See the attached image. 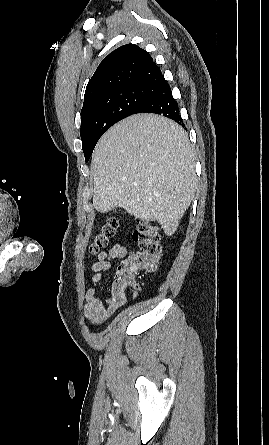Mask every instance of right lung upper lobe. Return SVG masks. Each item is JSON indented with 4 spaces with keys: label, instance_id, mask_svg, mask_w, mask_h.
<instances>
[{
    "label": "right lung upper lobe",
    "instance_id": "obj_1",
    "mask_svg": "<svg viewBox=\"0 0 269 445\" xmlns=\"http://www.w3.org/2000/svg\"><path fill=\"white\" fill-rule=\"evenodd\" d=\"M148 52L135 44L123 45L99 64L87 84L84 105L111 90L130 86H156L163 79Z\"/></svg>",
    "mask_w": 269,
    "mask_h": 445
}]
</instances>
